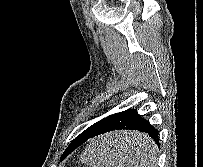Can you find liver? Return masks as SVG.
Masks as SVG:
<instances>
[{"instance_id": "1", "label": "liver", "mask_w": 203, "mask_h": 167, "mask_svg": "<svg viewBox=\"0 0 203 167\" xmlns=\"http://www.w3.org/2000/svg\"><path fill=\"white\" fill-rule=\"evenodd\" d=\"M139 133L137 132H116L114 134H109L108 137L109 138H115V142L116 143H125V142H130V143H134L133 139L136 135H138ZM117 152L120 155V158L122 160H127L129 162V164H132V167H139L140 165L145 164L144 162H141L139 158H137V154L134 150H128V149H116Z\"/></svg>"}]
</instances>
